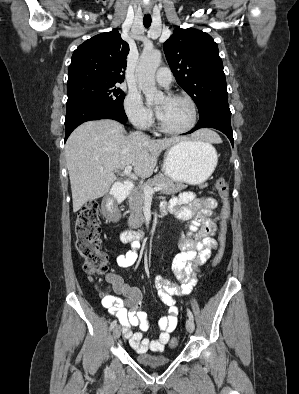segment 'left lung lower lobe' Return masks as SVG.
Returning <instances> with one entry per match:
<instances>
[{
	"instance_id": "1",
	"label": "left lung lower lobe",
	"mask_w": 299,
	"mask_h": 394,
	"mask_svg": "<svg viewBox=\"0 0 299 394\" xmlns=\"http://www.w3.org/2000/svg\"><path fill=\"white\" fill-rule=\"evenodd\" d=\"M231 111L228 103H218L211 106L207 111L200 114V119L196 126L188 134L200 128H215L223 132L234 145L233 133L231 128Z\"/></svg>"
}]
</instances>
